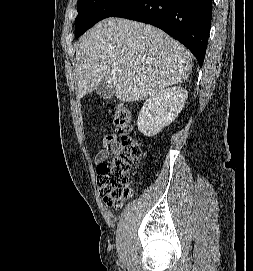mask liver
I'll return each instance as SVG.
<instances>
[{"label": "liver", "mask_w": 253, "mask_h": 271, "mask_svg": "<svg viewBox=\"0 0 253 271\" xmlns=\"http://www.w3.org/2000/svg\"><path fill=\"white\" fill-rule=\"evenodd\" d=\"M76 61L79 98L106 82L123 102L141 101L181 84L192 69L189 51L165 32L117 18L102 20L80 38Z\"/></svg>", "instance_id": "obj_1"}]
</instances>
